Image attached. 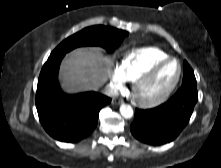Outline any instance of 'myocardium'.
<instances>
[{"instance_id": "myocardium-1", "label": "myocardium", "mask_w": 221, "mask_h": 168, "mask_svg": "<svg viewBox=\"0 0 221 168\" xmlns=\"http://www.w3.org/2000/svg\"><path fill=\"white\" fill-rule=\"evenodd\" d=\"M170 62L177 64V73L172 82L159 93L147 96L143 93L144 87L155 77L159 70ZM182 73L181 63L178 59L168 57L153 66H151L143 75H141L134 83L133 94L136 101L143 107H154L164 102L177 87Z\"/></svg>"}]
</instances>
